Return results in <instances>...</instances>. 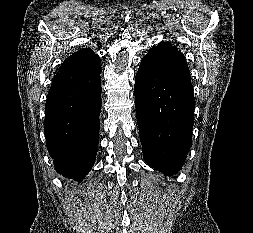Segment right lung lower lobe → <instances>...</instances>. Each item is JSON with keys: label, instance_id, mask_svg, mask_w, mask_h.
I'll use <instances>...</instances> for the list:
<instances>
[{"label": "right lung lower lobe", "instance_id": "1", "mask_svg": "<svg viewBox=\"0 0 253 233\" xmlns=\"http://www.w3.org/2000/svg\"><path fill=\"white\" fill-rule=\"evenodd\" d=\"M101 66L59 71L49 89L44 132L55 169L81 180L92 168L99 140Z\"/></svg>", "mask_w": 253, "mask_h": 233}]
</instances>
